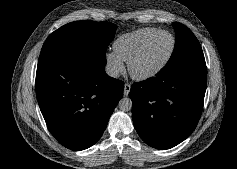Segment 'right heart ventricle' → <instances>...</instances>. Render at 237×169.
Returning a JSON list of instances; mask_svg holds the SVG:
<instances>
[{"mask_svg":"<svg viewBox=\"0 0 237 169\" xmlns=\"http://www.w3.org/2000/svg\"><path fill=\"white\" fill-rule=\"evenodd\" d=\"M160 31L154 27L141 28L119 36L114 44V52L125 62H129L140 47L154 34Z\"/></svg>","mask_w":237,"mask_h":169,"instance_id":"obj_1","label":"right heart ventricle"}]
</instances>
